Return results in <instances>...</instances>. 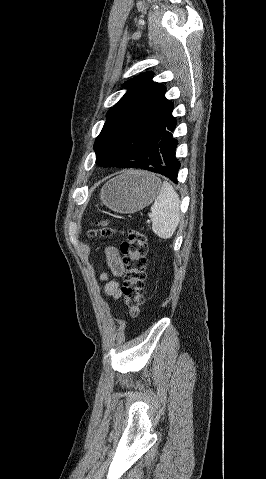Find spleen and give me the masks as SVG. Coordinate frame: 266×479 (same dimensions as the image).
<instances>
[{"label":"spleen","instance_id":"spleen-1","mask_svg":"<svg viewBox=\"0 0 266 479\" xmlns=\"http://www.w3.org/2000/svg\"><path fill=\"white\" fill-rule=\"evenodd\" d=\"M149 218L152 221V231L162 239H169L175 233L181 218L180 199L173 186L164 181Z\"/></svg>","mask_w":266,"mask_h":479}]
</instances>
